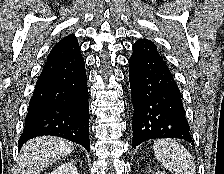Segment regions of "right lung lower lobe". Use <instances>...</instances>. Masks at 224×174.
<instances>
[{"label": "right lung lower lobe", "mask_w": 224, "mask_h": 174, "mask_svg": "<svg viewBox=\"0 0 224 174\" xmlns=\"http://www.w3.org/2000/svg\"><path fill=\"white\" fill-rule=\"evenodd\" d=\"M89 104L81 53L46 62L29 102L19 148L36 136H58L90 150Z\"/></svg>", "instance_id": "obj_1"}]
</instances>
